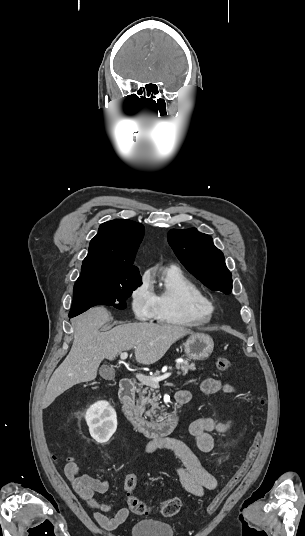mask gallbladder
Instances as JSON below:
<instances>
[{
  "label": "gallbladder",
  "mask_w": 305,
  "mask_h": 536,
  "mask_svg": "<svg viewBox=\"0 0 305 536\" xmlns=\"http://www.w3.org/2000/svg\"><path fill=\"white\" fill-rule=\"evenodd\" d=\"M99 374L101 378H104V380H113V378H115V374L112 368H109V366H101Z\"/></svg>",
  "instance_id": "bac80fb5"
}]
</instances>
